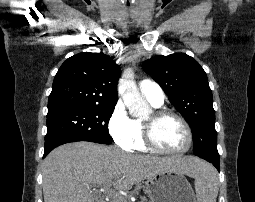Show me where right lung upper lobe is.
Segmentation results:
<instances>
[{
  "instance_id": "obj_1",
  "label": "right lung upper lobe",
  "mask_w": 255,
  "mask_h": 202,
  "mask_svg": "<svg viewBox=\"0 0 255 202\" xmlns=\"http://www.w3.org/2000/svg\"><path fill=\"white\" fill-rule=\"evenodd\" d=\"M119 66L103 53H79L59 68L48 100V114L88 105H115Z\"/></svg>"
}]
</instances>
